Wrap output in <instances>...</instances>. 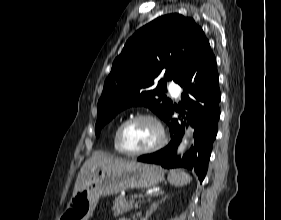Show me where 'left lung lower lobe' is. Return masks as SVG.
Returning a JSON list of instances; mask_svg holds the SVG:
<instances>
[{"mask_svg": "<svg viewBox=\"0 0 281 220\" xmlns=\"http://www.w3.org/2000/svg\"><path fill=\"white\" fill-rule=\"evenodd\" d=\"M218 83L216 58L209 47L192 60L188 72L178 83L184 88L181 111L172 106L166 120L171 132V142L153 154L140 156L138 161L159 164L165 168L184 167L194 170L202 182L207 172L220 117L221 94ZM174 110L182 116L180 120L172 117ZM184 120L195 129V142L182 158L177 159L176 150L185 129Z\"/></svg>", "mask_w": 281, "mask_h": 220, "instance_id": "1", "label": "left lung lower lobe"}]
</instances>
